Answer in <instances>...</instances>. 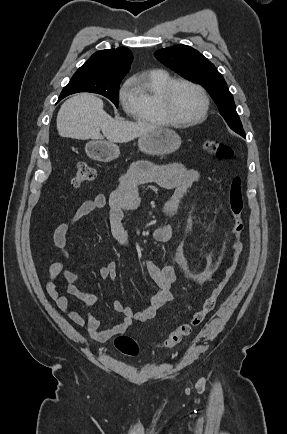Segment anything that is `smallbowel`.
<instances>
[{"label":"small bowel","instance_id":"obj_1","mask_svg":"<svg viewBox=\"0 0 287 434\" xmlns=\"http://www.w3.org/2000/svg\"><path fill=\"white\" fill-rule=\"evenodd\" d=\"M200 173L195 169H188L181 163L166 165H154L147 161H135L128 171L120 177L118 186L114 189L109 199L104 195H97L93 199L85 201L78 210L66 221L60 223L53 235L54 245L62 256L67 257V236L79 225V223L93 212L106 208L110 236L122 246L129 249L130 230L123 224L125 212L139 206L140 196L138 188L142 184L154 183L166 188L170 194L163 206L166 217L177 213L178 204L187 190L197 183ZM157 242H167L174 237V227L170 223L160 224L153 232ZM145 266L148 275L157 287L156 293L150 298L147 306L141 311H134L125 306L120 300H113L112 307L123 318L115 326L101 329V322L92 314L82 315L74 310L67 297L73 295L81 299L86 305L92 306L97 297L77 286L81 276L74 271L67 270L62 261H54L48 271L49 281L47 291L55 301L58 308L64 312L76 325L85 328L98 342H106L111 338L123 334L132 325L133 321L144 322L152 319L156 312L173 299L172 286L176 281L177 273L174 265L159 267L151 261H146ZM102 279L115 280L117 278V264L110 261L98 271ZM63 277L66 282V294L57 291L56 279Z\"/></svg>","mask_w":287,"mask_h":434}]
</instances>
